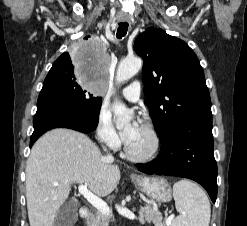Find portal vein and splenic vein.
<instances>
[{"mask_svg":"<svg viewBox=\"0 0 247 226\" xmlns=\"http://www.w3.org/2000/svg\"><path fill=\"white\" fill-rule=\"evenodd\" d=\"M78 192L83 195V197L91 203L99 212H101L104 215L110 214V209L108 205L99 197L94 195L90 190L87 189L85 185H79L78 186ZM174 219V215H170L166 219V224L170 225L172 220Z\"/></svg>","mask_w":247,"mask_h":226,"instance_id":"portal-vein-and-splenic-vein-1","label":"portal vein and splenic vein"}]
</instances>
